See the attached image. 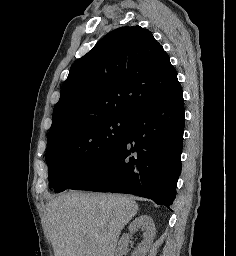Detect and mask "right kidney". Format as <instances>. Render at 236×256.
<instances>
[{
  "mask_svg": "<svg viewBox=\"0 0 236 256\" xmlns=\"http://www.w3.org/2000/svg\"><path fill=\"white\" fill-rule=\"evenodd\" d=\"M137 228H143V230H145L143 234L144 240H142V244L137 246V250L133 252L132 256H147L156 234L155 224L150 216H139V218H135V220L131 222L129 226L130 234L136 232ZM128 242L129 236L128 234H124L119 242L117 256H125Z\"/></svg>",
  "mask_w": 236,
  "mask_h": 256,
  "instance_id": "1",
  "label": "right kidney"
}]
</instances>
